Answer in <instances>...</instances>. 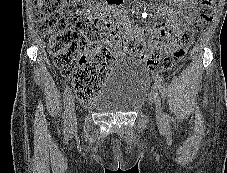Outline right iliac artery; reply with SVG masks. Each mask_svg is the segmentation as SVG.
<instances>
[{
  "label": "right iliac artery",
  "instance_id": "obj_1",
  "mask_svg": "<svg viewBox=\"0 0 227 173\" xmlns=\"http://www.w3.org/2000/svg\"><path fill=\"white\" fill-rule=\"evenodd\" d=\"M71 98V88L66 86L64 91V119H65V129L69 127V105Z\"/></svg>",
  "mask_w": 227,
  "mask_h": 173
}]
</instances>
